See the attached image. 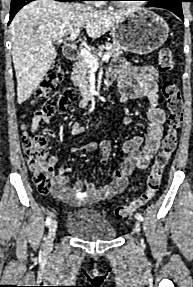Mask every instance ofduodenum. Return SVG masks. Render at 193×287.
Returning <instances> with one entry per match:
<instances>
[{"label": "duodenum", "mask_w": 193, "mask_h": 287, "mask_svg": "<svg viewBox=\"0 0 193 287\" xmlns=\"http://www.w3.org/2000/svg\"><path fill=\"white\" fill-rule=\"evenodd\" d=\"M64 56L67 60L69 61H74L77 58L78 52H77V47L75 45H68L64 48L63 50ZM98 93L97 91L93 93H86L83 95L81 101H80V106L84 107L92 102V100L97 97Z\"/></svg>", "instance_id": "duodenum-1"}]
</instances>
